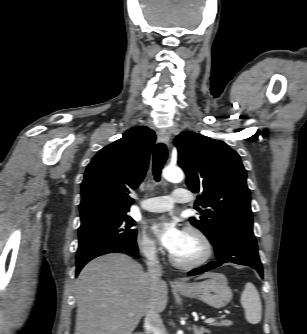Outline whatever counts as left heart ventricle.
I'll list each match as a JSON object with an SVG mask.
<instances>
[{
  "label": "left heart ventricle",
  "instance_id": "obj_1",
  "mask_svg": "<svg viewBox=\"0 0 307 334\" xmlns=\"http://www.w3.org/2000/svg\"><path fill=\"white\" fill-rule=\"evenodd\" d=\"M202 253L199 239L190 233H185L182 245L173 254L182 261H191Z\"/></svg>",
  "mask_w": 307,
  "mask_h": 334
}]
</instances>
